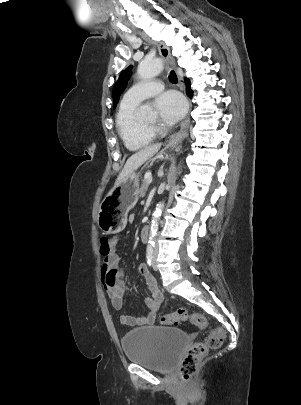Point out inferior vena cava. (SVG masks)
Listing matches in <instances>:
<instances>
[{
	"mask_svg": "<svg viewBox=\"0 0 301 405\" xmlns=\"http://www.w3.org/2000/svg\"><path fill=\"white\" fill-rule=\"evenodd\" d=\"M157 250H158V247H157V245H155L154 246V252H157Z\"/></svg>",
	"mask_w": 301,
	"mask_h": 405,
	"instance_id": "1",
	"label": "inferior vena cava"
}]
</instances>
